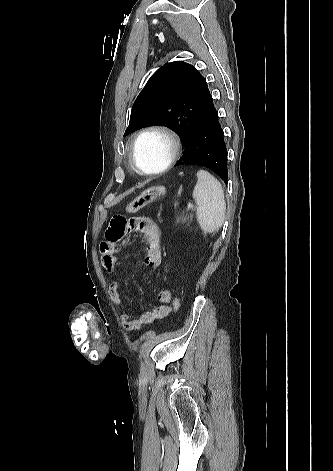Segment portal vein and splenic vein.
I'll use <instances>...</instances> for the list:
<instances>
[{
  "label": "portal vein and splenic vein",
  "mask_w": 333,
  "mask_h": 471,
  "mask_svg": "<svg viewBox=\"0 0 333 471\" xmlns=\"http://www.w3.org/2000/svg\"><path fill=\"white\" fill-rule=\"evenodd\" d=\"M188 208H191V209H192V208H194V205H193L192 203H189V204H188Z\"/></svg>",
  "instance_id": "portal-vein-and-splenic-vein-1"
}]
</instances>
